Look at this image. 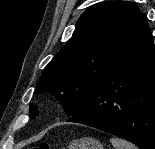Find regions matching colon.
<instances>
[{
  "instance_id": "1",
  "label": "colon",
  "mask_w": 155,
  "mask_h": 149,
  "mask_svg": "<svg viewBox=\"0 0 155 149\" xmlns=\"http://www.w3.org/2000/svg\"><path fill=\"white\" fill-rule=\"evenodd\" d=\"M33 149H50V145L48 143L43 142L35 146Z\"/></svg>"
}]
</instances>
